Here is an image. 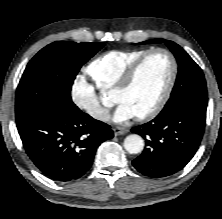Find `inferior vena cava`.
<instances>
[{
  "instance_id": "obj_1",
  "label": "inferior vena cava",
  "mask_w": 222,
  "mask_h": 219,
  "mask_svg": "<svg viewBox=\"0 0 222 219\" xmlns=\"http://www.w3.org/2000/svg\"><path fill=\"white\" fill-rule=\"evenodd\" d=\"M98 118L102 119V120H107L110 118V115L108 112L102 113L100 115H98Z\"/></svg>"
}]
</instances>
